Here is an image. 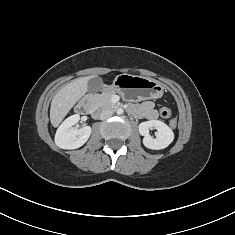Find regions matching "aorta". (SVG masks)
Instances as JSON below:
<instances>
[{
    "label": "aorta",
    "instance_id": "762f6f07",
    "mask_svg": "<svg viewBox=\"0 0 235 235\" xmlns=\"http://www.w3.org/2000/svg\"><path fill=\"white\" fill-rule=\"evenodd\" d=\"M123 112H124V110H123L122 108H119V109L117 110V114H118V115L123 114Z\"/></svg>",
    "mask_w": 235,
    "mask_h": 235
}]
</instances>
